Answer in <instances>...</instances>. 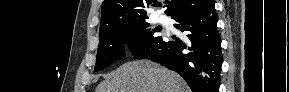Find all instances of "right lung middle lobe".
I'll list each match as a JSON object with an SVG mask.
<instances>
[{"instance_id":"dd1d6c3e","label":"right lung middle lobe","mask_w":289,"mask_h":92,"mask_svg":"<svg viewBox=\"0 0 289 92\" xmlns=\"http://www.w3.org/2000/svg\"><path fill=\"white\" fill-rule=\"evenodd\" d=\"M148 19L119 22L99 31V46L95 71L102 70L123 57V43L127 40L135 56L162 39Z\"/></svg>"}]
</instances>
